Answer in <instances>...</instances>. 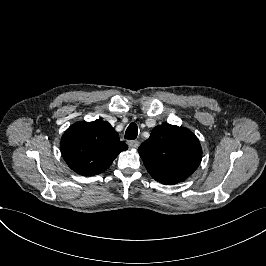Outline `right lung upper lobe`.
Wrapping results in <instances>:
<instances>
[{
    "mask_svg": "<svg viewBox=\"0 0 266 266\" xmlns=\"http://www.w3.org/2000/svg\"><path fill=\"white\" fill-rule=\"evenodd\" d=\"M125 142L106 121L77 122L70 126L61 139V153L68 166L84 176L105 171L121 151Z\"/></svg>",
    "mask_w": 266,
    "mask_h": 266,
    "instance_id": "obj_1",
    "label": "right lung upper lobe"
}]
</instances>
